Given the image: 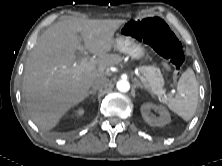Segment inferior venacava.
Segmentation results:
<instances>
[{"mask_svg":"<svg viewBox=\"0 0 222 166\" xmlns=\"http://www.w3.org/2000/svg\"><path fill=\"white\" fill-rule=\"evenodd\" d=\"M108 85H109V79L104 76V77H100V78L95 79L92 82L91 86H92L93 90L96 91V90L104 89V88L108 87Z\"/></svg>","mask_w":222,"mask_h":166,"instance_id":"obj_1","label":"inferior vena cava"}]
</instances>
